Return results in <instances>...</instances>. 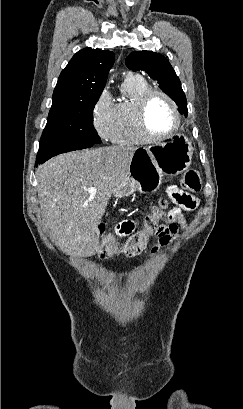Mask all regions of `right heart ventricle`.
<instances>
[{
	"mask_svg": "<svg viewBox=\"0 0 243 409\" xmlns=\"http://www.w3.org/2000/svg\"><path fill=\"white\" fill-rule=\"evenodd\" d=\"M150 89L140 77H127L122 84L124 99L114 104L115 125L112 142L120 145H135L145 142L135 128L133 109L139 97Z\"/></svg>",
	"mask_w": 243,
	"mask_h": 409,
	"instance_id": "obj_1",
	"label": "right heart ventricle"
}]
</instances>
